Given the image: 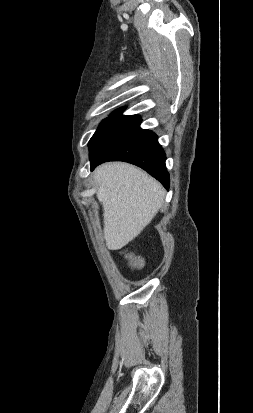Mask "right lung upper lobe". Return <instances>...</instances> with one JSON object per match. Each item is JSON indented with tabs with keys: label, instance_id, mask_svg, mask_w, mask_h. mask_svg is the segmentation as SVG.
<instances>
[{
	"label": "right lung upper lobe",
	"instance_id": "cb5924a9",
	"mask_svg": "<svg viewBox=\"0 0 253 413\" xmlns=\"http://www.w3.org/2000/svg\"><path fill=\"white\" fill-rule=\"evenodd\" d=\"M121 113H122V110H117L114 113H112L111 115H121ZM132 116H136V115H132Z\"/></svg>",
	"mask_w": 253,
	"mask_h": 413
}]
</instances>
